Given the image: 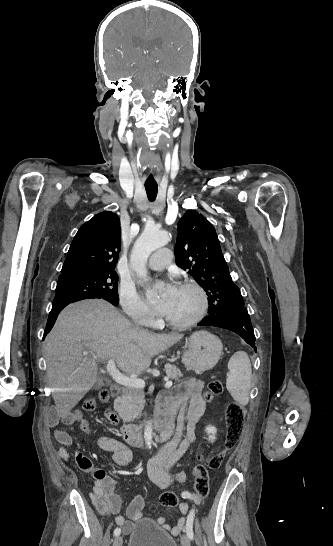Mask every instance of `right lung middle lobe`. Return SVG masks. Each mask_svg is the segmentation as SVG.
<instances>
[{"label":"right lung middle lobe","mask_w":333,"mask_h":546,"mask_svg":"<svg viewBox=\"0 0 333 546\" xmlns=\"http://www.w3.org/2000/svg\"><path fill=\"white\" fill-rule=\"evenodd\" d=\"M117 282L118 275L114 270L60 275L53 305L88 298H112L118 301Z\"/></svg>","instance_id":"obj_1"}]
</instances>
